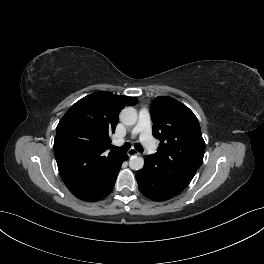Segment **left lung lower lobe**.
<instances>
[{
  "label": "left lung lower lobe",
  "mask_w": 264,
  "mask_h": 264,
  "mask_svg": "<svg viewBox=\"0 0 264 264\" xmlns=\"http://www.w3.org/2000/svg\"><path fill=\"white\" fill-rule=\"evenodd\" d=\"M144 161V167L137 171L136 179L141 193L153 201H164L176 196L192 179L183 171L164 169L153 155H148Z\"/></svg>",
  "instance_id": "obj_1"
}]
</instances>
